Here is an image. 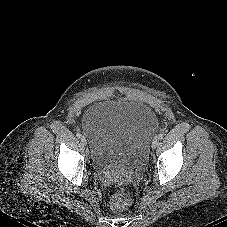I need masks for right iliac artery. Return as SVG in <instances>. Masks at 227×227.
Segmentation results:
<instances>
[{
	"label": "right iliac artery",
	"mask_w": 227,
	"mask_h": 227,
	"mask_svg": "<svg viewBox=\"0 0 227 227\" xmlns=\"http://www.w3.org/2000/svg\"><path fill=\"white\" fill-rule=\"evenodd\" d=\"M76 136H77L78 138H81V137H82L81 133H77Z\"/></svg>",
	"instance_id": "obj_1"
}]
</instances>
